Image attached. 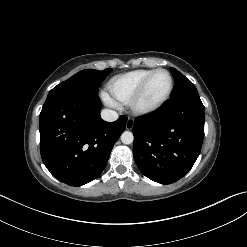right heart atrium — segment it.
<instances>
[{"label":"right heart atrium","mask_w":247,"mask_h":247,"mask_svg":"<svg viewBox=\"0 0 247 247\" xmlns=\"http://www.w3.org/2000/svg\"><path fill=\"white\" fill-rule=\"evenodd\" d=\"M103 98H104V101L109 105V106H112V107H117L118 104L115 100H113L110 96H108L107 94H104L103 95Z\"/></svg>","instance_id":"right-heart-atrium-1"}]
</instances>
